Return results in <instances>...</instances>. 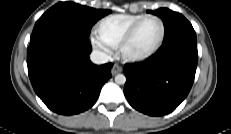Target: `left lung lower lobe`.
<instances>
[{
	"mask_svg": "<svg viewBox=\"0 0 231 134\" xmlns=\"http://www.w3.org/2000/svg\"><path fill=\"white\" fill-rule=\"evenodd\" d=\"M198 62L196 35L163 43L144 63L125 65L124 94L136 110L151 116L172 112L188 95Z\"/></svg>",
	"mask_w": 231,
	"mask_h": 134,
	"instance_id": "0a47b994",
	"label": "left lung lower lobe"
}]
</instances>
